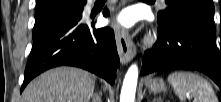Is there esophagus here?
Wrapping results in <instances>:
<instances>
[{
	"label": "esophagus",
	"mask_w": 221,
	"mask_h": 102,
	"mask_svg": "<svg viewBox=\"0 0 221 102\" xmlns=\"http://www.w3.org/2000/svg\"><path fill=\"white\" fill-rule=\"evenodd\" d=\"M117 50L123 64L128 63L136 54V48L128 33L119 26H114Z\"/></svg>",
	"instance_id": "obj_1"
}]
</instances>
